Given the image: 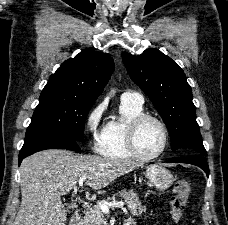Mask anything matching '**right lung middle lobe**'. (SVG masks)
<instances>
[{"mask_svg": "<svg viewBox=\"0 0 228 225\" xmlns=\"http://www.w3.org/2000/svg\"><path fill=\"white\" fill-rule=\"evenodd\" d=\"M94 100L55 89H43L26 137L58 134L84 140V124Z\"/></svg>", "mask_w": 228, "mask_h": 225, "instance_id": "obj_1", "label": "right lung middle lobe"}]
</instances>
